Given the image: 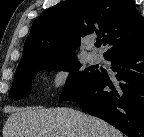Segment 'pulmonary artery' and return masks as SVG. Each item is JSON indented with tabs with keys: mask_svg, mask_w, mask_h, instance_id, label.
<instances>
[{
	"mask_svg": "<svg viewBox=\"0 0 144 137\" xmlns=\"http://www.w3.org/2000/svg\"><path fill=\"white\" fill-rule=\"evenodd\" d=\"M98 60H99V57H98L97 54L91 53V54L89 55V61H90L91 63H96V62H98Z\"/></svg>",
	"mask_w": 144,
	"mask_h": 137,
	"instance_id": "pulmonary-artery-1",
	"label": "pulmonary artery"
}]
</instances>
